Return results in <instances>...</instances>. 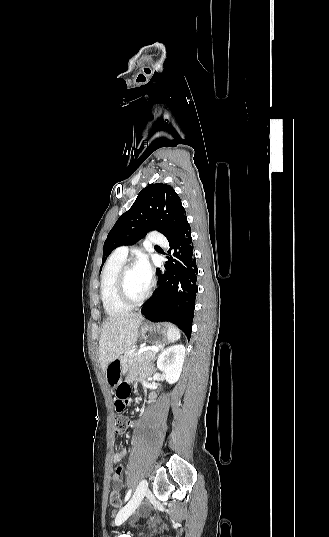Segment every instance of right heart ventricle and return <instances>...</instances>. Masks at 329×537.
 I'll return each instance as SVG.
<instances>
[{
	"instance_id": "obj_1",
	"label": "right heart ventricle",
	"mask_w": 329,
	"mask_h": 537,
	"mask_svg": "<svg viewBox=\"0 0 329 537\" xmlns=\"http://www.w3.org/2000/svg\"><path fill=\"white\" fill-rule=\"evenodd\" d=\"M125 259L114 254L105 264L100 281V295L105 312L110 316H118L127 313L130 308L124 305L117 293V275L124 265Z\"/></svg>"
}]
</instances>
